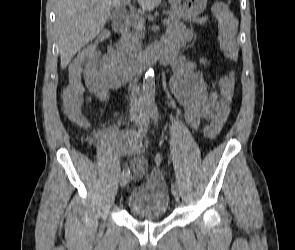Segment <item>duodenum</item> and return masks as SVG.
I'll return each mask as SVG.
<instances>
[{
	"label": "duodenum",
	"instance_id": "obj_1",
	"mask_svg": "<svg viewBox=\"0 0 295 250\" xmlns=\"http://www.w3.org/2000/svg\"><path fill=\"white\" fill-rule=\"evenodd\" d=\"M112 25L114 31L120 35L116 42V55L113 59L114 75L119 83L134 77L154 63L168 64L169 58L161 47H153L140 55H131L127 52L124 39V34L130 26V18L127 14L118 15Z\"/></svg>",
	"mask_w": 295,
	"mask_h": 250
}]
</instances>
